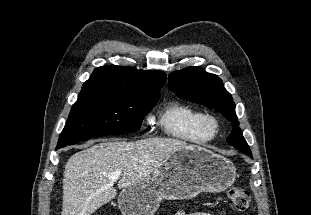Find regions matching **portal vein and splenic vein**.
Instances as JSON below:
<instances>
[{
    "mask_svg": "<svg viewBox=\"0 0 311 215\" xmlns=\"http://www.w3.org/2000/svg\"><path fill=\"white\" fill-rule=\"evenodd\" d=\"M121 176V171H115L111 174V180L116 181Z\"/></svg>",
    "mask_w": 311,
    "mask_h": 215,
    "instance_id": "portal-vein-and-splenic-vein-1",
    "label": "portal vein and splenic vein"
}]
</instances>
